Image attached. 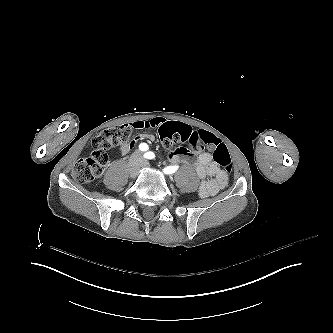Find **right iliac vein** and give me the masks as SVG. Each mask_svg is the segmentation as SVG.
Wrapping results in <instances>:
<instances>
[{"label": "right iliac vein", "instance_id": "1", "mask_svg": "<svg viewBox=\"0 0 333 333\" xmlns=\"http://www.w3.org/2000/svg\"><path fill=\"white\" fill-rule=\"evenodd\" d=\"M137 154V153H136ZM140 159L142 158L141 156L139 157ZM129 169H130V175L132 176V177H135V176H137V174H138V171H139V169H140V166H139V164H131L130 166H129Z\"/></svg>", "mask_w": 333, "mask_h": 333}]
</instances>
